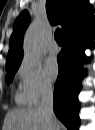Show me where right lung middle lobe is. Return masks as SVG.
I'll return each mask as SVG.
<instances>
[{
	"mask_svg": "<svg viewBox=\"0 0 95 130\" xmlns=\"http://www.w3.org/2000/svg\"><path fill=\"white\" fill-rule=\"evenodd\" d=\"M18 68H13V69H8L6 70V82L9 84L15 75V72L17 71Z\"/></svg>",
	"mask_w": 95,
	"mask_h": 130,
	"instance_id": "obj_1",
	"label": "right lung middle lobe"
}]
</instances>
